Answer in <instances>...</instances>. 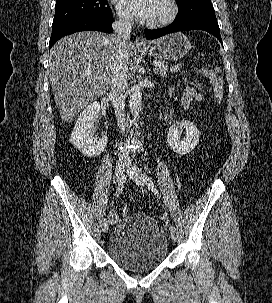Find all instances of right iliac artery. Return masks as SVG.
<instances>
[{
    "instance_id": "1",
    "label": "right iliac artery",
    "mask_w": 272,
    "mask_h": 303,
    "mask_svg": "<svg viewBox=\"0 0 272 303\" xmlns=\"http://www.w3.org/2000/svg\"><path fill=\"white\" fill-rule=\"evenodd\" d=\"M123 178L118 182V186H117V191H116V196L118 197L122 191H123V188H124V185H123ZM108 213V212H107ZM107 213H104L103 214V221H108V214Z\"/></svg>"
}]
</instances>
